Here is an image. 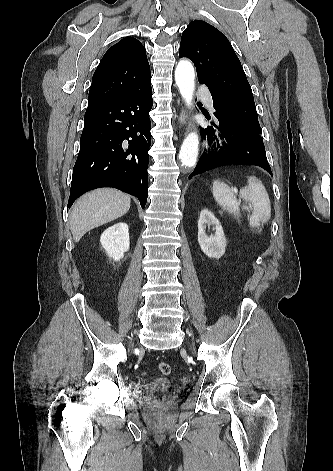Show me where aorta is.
<instances>
[{
    "label": "aorta",
    "mask_w": 333,
    "mask_h": 471,
    "mask_svg": "<svg viewBox=\"0 0 333 471\" xmlns=\"http://www.w3.org/2000/svg\"><path fill=\"white\" fill-rule=\"evenodd\" d=\"M195 72L192 64L188 60H180L175 69V81L180 94L187 106H191L195 88ZM199 139L197 133H190L184 139L179 159L183 166L192 167L195 165L198 156Z\"/></svg>",
    "instance_id": "aorta-1"
}]
</instances>
